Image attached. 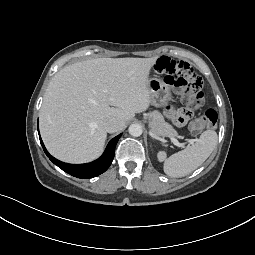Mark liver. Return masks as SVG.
<instances>
[{
	"label": "liver",
	"instance_id": "6515ba94",
	"mask_svg": "<svg viewBox=\"0 0 255 255\" xmlns=\"http://www.w3.org/2000/svg\"><path fill=\"white\" fill-rule=\"evenodd\" d=\"M152 58H97L61 69L49 83L40 110L42 140L57 159L86 163L103 152L104 122L131 120L151 103ZM120 129V130H121Z\"/></svg>",
	"mask_w": 255,
	"mask_h": 255
}]
</instances>
